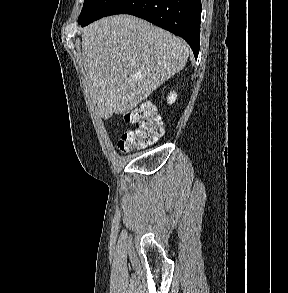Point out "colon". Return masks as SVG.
<instances>
[{"instance_id": "5ec220e1", "label": "colon", "mask_w": 288, "mask_h": 293, "mask_svg": "<svg viewBox=\"0 0 288 293\" xmlns=\"http://www.w3.org/2000/svg\"><path fill=\"white\" fill-rule=\"evenodd\" d=\"M123 118L133 127L125 131L118 141V149L122 153L152 145L163 134L161 118L155 108L149 104H142L126 111Z\"/></svg>"}]
</instances>
